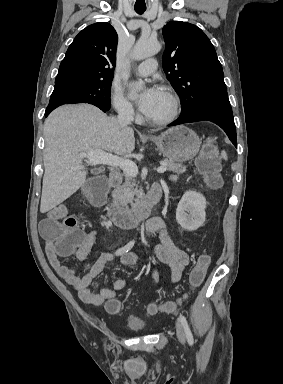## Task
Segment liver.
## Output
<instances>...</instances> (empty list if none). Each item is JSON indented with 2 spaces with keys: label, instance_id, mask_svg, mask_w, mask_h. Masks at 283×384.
Here are the masks:
<instances>
[{
  "label": "liver",
  "instance_id": "1",
  "mask_svg": "<svg viewBox=\"0 0 283 384\" xmlns=\"http://www.w3.org/2000/svg\"><path fill=\"white\" fill-rule=\"evenodd\" d=\"M44 138L41 214L50 212L83 186L87 170L81 154L109 150L127 156L135 148L132 128H121L117 118H108L90 104L56 108L44 122Z\"/></svg>",
  "mask_w": 283,
  "mask_h": 384
}]
</instances>
